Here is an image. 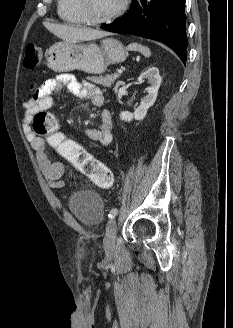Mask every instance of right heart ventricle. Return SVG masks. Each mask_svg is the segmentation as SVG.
<instances>
[{
  "label": "right heart ventricle",
  "mask_w": 233,
  "mask_h": 328,
  "mask_svg": "<svg viewBox=\"0 0 233 328\" xmlns=\"http://www.w3.org/2000/svg\"><path fill=\"white\" fill-rule=\"evenodd\" d=\"M59 17L71 24H84L85 19L77 7L76 0H57Z\"/></svg>",
  "instance_id": "right-heart-ventricle-1"
}]
</instances>
